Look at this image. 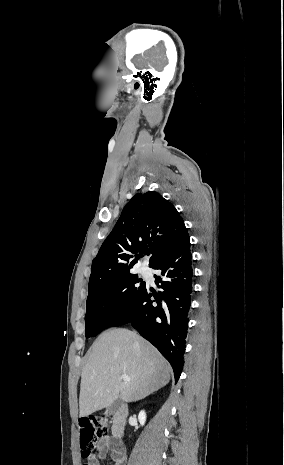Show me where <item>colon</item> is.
<instances>
[{
	"label": "colon",
	"mask_w": 284,
	"mask_h": 465,
	"mask_svg": "<svg viewBox=\"0 0 284 465\" xmlns=\"http://www.w3.org/2000/svg\"><path fill=\"white\" fill-rule=\"evenodd\" d=\"M80 429V456L82 459L89 458L94 443L102 439L108 430L107 425L92 422L88 425L79 426Z\"/></svg>",
	"instance_id": "5ec220e1"
}]
</instances>
